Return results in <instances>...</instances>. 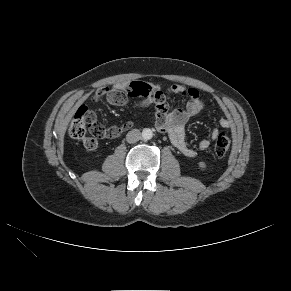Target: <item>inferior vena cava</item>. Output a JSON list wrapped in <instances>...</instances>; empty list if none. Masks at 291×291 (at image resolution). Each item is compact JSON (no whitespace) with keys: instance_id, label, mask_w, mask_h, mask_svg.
I'll use <instances>...</instances> for the list:
<instances>
[{"instance_id":"602c4592","label":"inferior vena cava","mask_w":291,"mask_h":291,"mask_svg":"<svg viewBox=\"0 0 291 291\" xmlns=\"http://www.w3.org/2000/svg\"><path fill=\"white\" fill-rule=\"evenodd\" d=\"M141 139V132L138 129H132L126 135L128 143H135Z\"/></svg>"}]
</instances>
